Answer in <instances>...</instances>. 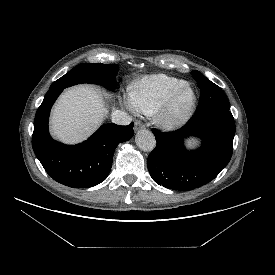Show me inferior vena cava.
Masks as SVG:
<instances>
[{"instance_id": "obj_1", "label": "inferior vena cava", "mask_w": 275, "mask_h": 275, "mask_svg": "<svg viewBox=\"0 0 275 275\" xmlns=\"http://www.w3.org/2000/svg\"><path fill=\"white\" fill-rule=\"evenodd\" d=\"M111 120L118 125H128L131 123L132 118L126 112L116 110L112 113Z\"/></svg>"}]
</instances>
